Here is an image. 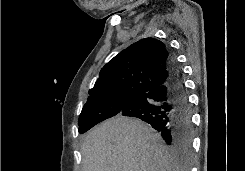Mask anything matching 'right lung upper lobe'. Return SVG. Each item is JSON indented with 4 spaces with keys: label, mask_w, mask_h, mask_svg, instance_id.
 Listing matches in <instances>:
<instances>
[{
    "label": "right lung upper lobe",
    "mask_w": 245,
    "mask_h": 171,
    "mask_svg": "<svg viewBox=\"0 0 245 171\" xmlns=\"http://www.w3.org/2000/svg\"><path fill=\"white\" fill-rule=\"evenodd\" d=\"M169 50L153 38L130 45L109 61L100 71L87 102L119 95H144L163 85L168 77Z\"/></svg>",
    "instance_id": "1"
}]
</instances>
